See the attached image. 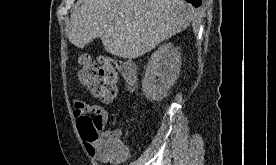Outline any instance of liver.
<instances>
[{"mask_svg":"<svg viewBox=\"0 0 276 165\" xmlns=\"http://www.w3.org/2000/svg\"><path fill=\"white\" fill-rule=\"evenodd\" d=\"M195 18L183 0H84L71 14L67 36L81 49L100 38L108 53L136 59Z\"/></svg>","mask_w":276,"mask_h":165,"instance_id":"1","label":"liver"}]
</instances>
